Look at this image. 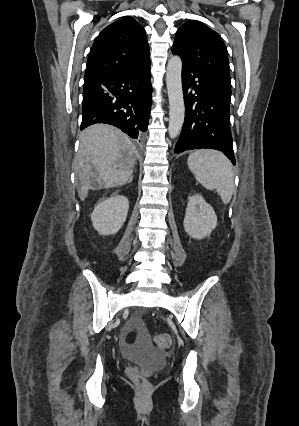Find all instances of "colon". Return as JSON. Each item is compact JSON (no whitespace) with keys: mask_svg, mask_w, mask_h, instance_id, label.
<instances>
[{"mask_svg":"<svg viewBox=\"0 0 299 426\" xmlns=\"http://www.w3.org/2000/svg\"><path fill=\"white\" fill-rule=\"evenodd\" d=\"M140 330L144 332V326L141 324ZM154 344L159 349H166L171 345V337L166 334H159L154 338ZM128 377L136 384L140 392L145 393L150 389V383L148 377L150 372L140 367H129L127 369Z\"/></svg>","mask_w":299,"mask_h":426,"instance_id":"5ec220e1","label":"colon"}]
</instances>
